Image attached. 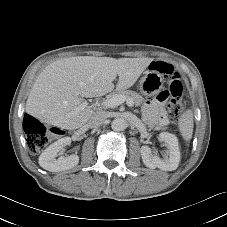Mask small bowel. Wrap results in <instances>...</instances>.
<instances>
[{
    "mask_svg": "<svg viewBox=\"0 0 227 227\" xmlns=\"http://www.w3.org/2000/svg\"><path fill=\"white\" fill-rule=\"evenodd\" d=\"M171 92L168 89H163L156 94V99H149L146 102V110L150 120L158 125H166L168 122L167 115L164 109V103L169 101Z\"/></svg>",
    "mask_w": 227,
    "mask_h": 227,
    "instance_id": "small-bowel-1",
    "label": "small bowel"
}]
</instances>
